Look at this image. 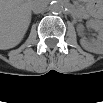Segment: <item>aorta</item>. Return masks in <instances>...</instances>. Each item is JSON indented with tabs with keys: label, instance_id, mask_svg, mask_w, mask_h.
Wrapping results in <instances>:
<instances>
[{
	"label": "aorta",
	"instance_id": "aorta-1",
	"mask_svg": "<svg viewBox=\"0 0 103 103\" xmlns=\"http://www.w3.org/2000/svg\"><path fill=\"white\" fill-rule=\"evenodd\" d=\"M49 10L54 14L62 13L64 6L60 1H52L49 6Z\"/></svg>",
	"mask_w": 103,
	"mask_h": 103
}]
</instances>
